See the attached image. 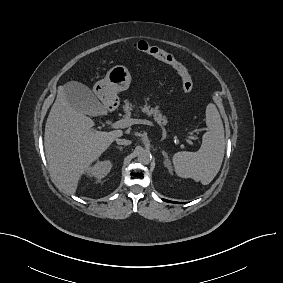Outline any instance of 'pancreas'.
I'll use <instances>...</instances> for the list:
<instances>
[{"instance_id": "obj_1", "label": "pancreas", "mask_w": 283, "mask_h": 283, "mask_svg": "<svg viewBox=\"0 0 283 283\" xmlns=\"http://www.w3.org/2000/svg\"><path fill=\"white\" fill-rule=\"evenodd\" d=\"M136 106L134 104H132L129 101L125 102V105L123 106V110L125 112L124 117L125 118H130L133 108H135ZM141 111L143 113H146L147 116H153L154 120L160 125V126H164L167 124V119L164 115H162V113L160 112V110H158V107H150V105L145 104L144 106H141Z\"/></svg>"}]
</instances>
